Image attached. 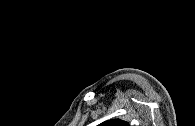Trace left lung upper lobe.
I'll return each mask as SVG.
<instances>
[{
	"instance_id": "left-lung-upper-lobe-1",
	"label": "left lung upper lobe",
	"mask_w": 195,
	"mask_h": 126,
	"mask_svg": "<svg viewBox=\"0 0 195 126\" xmlns=\"http://www.w3.org/2000/svg\"><path fill=\"white\" fill-rule=\"evenodd\" d=\"M99 126H130L128 122L122 121L120 119L108 120L101 123Z\"/></svg>"
}]
</instances>
